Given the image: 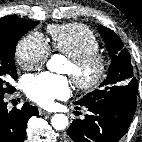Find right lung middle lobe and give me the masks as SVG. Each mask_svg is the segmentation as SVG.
Segmentation results:
<instances>
[{"mask_svg": "<svg viewBox=\"0 0 142 142\" xmlns=\"http://www.w3.org/2000/svg\"><path fill=\"white\" fill-rule=\"evenodd\" d=\"M37 23L20 18L0 22V96L13 91L8 81L17 79L14 61L17 42Z\"/></svg>", "mask_w": 142, "mask_h": 142, "instance_id": "dd1d6c3e", "label": "right lung middle lobe"}]
</instances>
